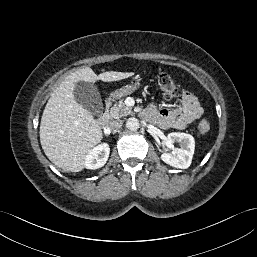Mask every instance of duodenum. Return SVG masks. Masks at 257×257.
<instances>
[{
	"instance_id": "1",
	"label": "duodenum",
	"mask_w": 257,
	"mask_h": 257,
	"mask_svg": "<svg viewBox=\"0 0 257 257\" xmlns=\"http://www.w3.org/2000/svg\"><path fill=\"white\" fill-rule=\"evenodd\" d=\"M107 104L108 105L110 104L109 100L107 101ZM107 121H108V117L105 113L97 118V124L100 128H105L107 126Z\"/></svg>"
}]
</instances>
